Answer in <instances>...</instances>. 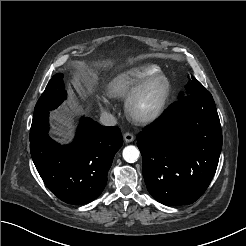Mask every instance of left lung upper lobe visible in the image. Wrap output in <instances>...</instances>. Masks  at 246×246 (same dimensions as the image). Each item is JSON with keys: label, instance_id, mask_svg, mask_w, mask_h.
<instances>
[{"label": "left lung upper lobe", "instance_id": "1", "mask_svg": "<svg viewBox=\"0 0 246 246\" xmlns=\"http://www.w3.org/2000/svg\"><path fill=\"white\" fill-rule=\"evenodd\" d=\"M186 89H187L186 93H181L180 98L190 94L202 93L207 91L203 87V85L198 80H196L193 76L191 78V81L188 82Z\"/></svg>", "mask_w": 246, "mask_h": 246}]
</instances>
